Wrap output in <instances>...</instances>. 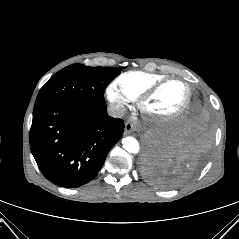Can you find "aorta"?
<instances>
[{
	"label": "aorta",
	"mask_w": 239,
	"mask_h": 239,
	"mask_svg": "<svg viewBox=\"0 0 239 239\" xmlns=\"http://www.w3.org/2000/svg\"><path fill=\"white\" fill-rule=\"evenodd\" d=\"M122 144L123 148L129 153L137 154L140 151V145L138 141L132 136L123 138Z\"/></svg>",
	"instance_id": "aorta-1"
}]
</instances>
